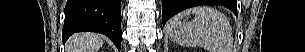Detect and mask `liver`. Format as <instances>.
Returning <instances> with one entry per match:
<instances>
[{"instance_id":"1","label":"liver","mask_w":305,"mask_h":52,"mask_svg":"<svg viewBox=\"0 0 305 52\" xmlns=\"http://www.w3.org/2000/svg\"><path fill=\"white\" fill-rule=\"evenodd\" d=\"M103 45V38L96 33H79L74 35L68 45V52H97Z\"/></svg>"}]
</instances>
